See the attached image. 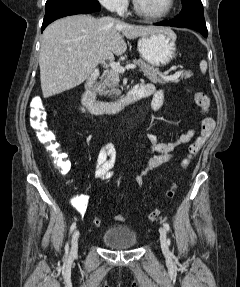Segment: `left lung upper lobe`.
<instances>
[{
	"label": "left lung upper lobe",
	"mask_w": 240,
	"mask_h": 287,
	"mask_svg": "<svg viewBox=\"0 0 240 287\" xmlns=\"http://www.w3.org/2000/svg\"><path fill=\"white\" fill-rule=\"evenodd\" d=\"M184 1H186V0H181L182 3H183Z\"/></svg>",
	"instance_id": "5c2ea615"
}]
</instances>
